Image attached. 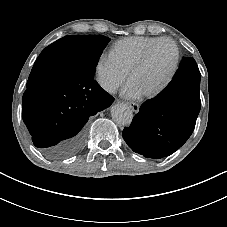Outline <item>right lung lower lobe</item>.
Masks as SVG:
<instances>
[{"label":"right lung lower lobe","mask_w":227,"mask_h":227,"mask_svg":"<svg viewBox=\"0 0 227 227\" xmlns=\"http://www.w3.org/2000/svg\"><path fill=\"white\" fill-rule=\"evenodd\" d=\"M45 60L35 63L52 71L42 83L26 89L22 115L34 145L45 157L58 160L81 149L86 123L114 98L95 80H71L56 74L53 63Z\"/></svg>","instance_id":"obj_1"}]
</instances>
